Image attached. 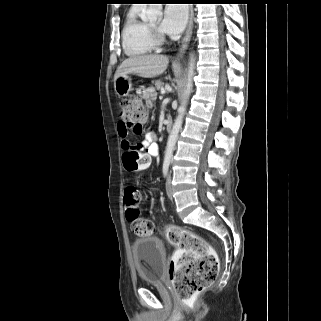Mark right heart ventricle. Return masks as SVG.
Instances as JSON below:
<instances>
[{
    "instance_id": "obj_1",
    "label": "right heart ventricle",
    "mask_w": 321,
    "mask_h": 321,
    "mask_svg": "<svg viewBox=\"0 0 321 321\" xmlns=\"http://www.w3.org/2000/svg\"><path fill=\"white\" fill-rule=\"evenodd\" d=\"M143 9V5H133L123 24L122 47L125 54L130 57L149 54L156 47L151 39L148 24L140 18Z\"/></svg>"
}]
</instances>
